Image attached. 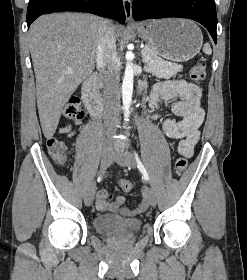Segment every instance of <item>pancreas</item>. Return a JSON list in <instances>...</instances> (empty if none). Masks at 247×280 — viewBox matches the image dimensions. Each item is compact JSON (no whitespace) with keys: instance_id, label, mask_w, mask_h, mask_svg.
<instances>
[{"instance_id":"1","label":"pancreas","mask_w":247,"mask_h":280,"mask_svg":"<svg viewBox=\"0 0 247 280\" xmlns=\"http://www.w3.org/2000/svg\"><path fill=\"white\" fill-rule=\"evenodd\" d=\"M142 53L149 57V61L145 62V70L158 78L168 79L175 77L183 69L181 65L159 58L156 52L148 45L143 48Z\"/></svg>"}]
</instances>
